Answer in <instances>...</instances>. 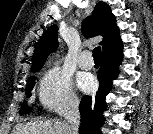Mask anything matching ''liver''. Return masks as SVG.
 Segmentation results:
<instances>
[{
	"mask_svg": "<svg viewBox=\"0 0 153 134\" xmlns=\"http://www.w3.org/2000/svg\"><path fill=\"white\" fill-rule=\"evenodd\" d=\"M65 124L60 121L40 120L17 125L13 134H65Z\"/></svg>",
	"mask_w": 153,
	"mask_h": 134,
	"instance_id": "6515ba94",
	"label": "liver"
}]
</instances>
